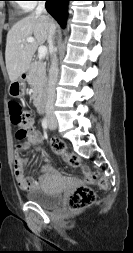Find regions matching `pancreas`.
<instances>
[{
	"instance_id": "cf45deb5",
	"label": "pancreas",
	"mask_w": 133,
	"mask_h": 253,
	"mask_svg": "<svg viewBox=\"0 0 133 253\" xmlns=\"http://www.w3.org/2000/svg\"><path fill=\"white\" fill-rule=\"evenodd\" d=\"M46 64L35 61L30 65L27 82L32 87V98L36 102L42 95L46 84Z\"/></svg>"
}]
</instances>
